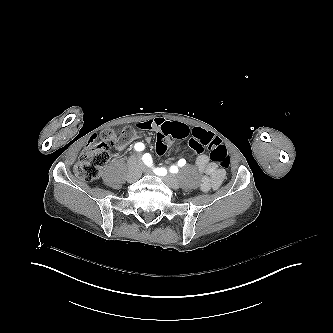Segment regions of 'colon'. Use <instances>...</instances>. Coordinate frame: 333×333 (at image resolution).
I'll return each mask as SVG.
<instances>
[{"mask_svg": "<svg viewBox=\"0 0 333 333\" xmlns=\"http://www.w3.org/2000/svg\"><path fill=\"white\" fill-rule=\"evenodd\" d=\"M121 137L117 130H105L87 141L82 153L75 164L76 176L84 181H92L99 177L101 169L109 159L108 148L119 150L123 148L125 140L135 137L137 130L135 126L128 124L124 126ZM188 139V146L194 152H201L208 149L210 159L222 169H227L230 165V157L225 144L212 137L210 133L199 128L190 127L186 123L173 124L167 122L156 135L154 149L156 153L164 155L168 153L170 139Z\"/></svg>", "mask_w": 333, "mask_h": 333, "instance_id": "obj_1", "label": "colon"}]
</instances>
